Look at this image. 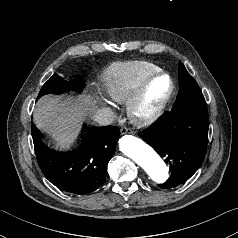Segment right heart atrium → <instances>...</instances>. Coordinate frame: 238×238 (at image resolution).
Segmentation results:
<instances>
[{
    "mask_svg": "<svg viewBox=\"0 0 238 238\" xmlns=\"http://www.w3.org/2000/svg\"><path fill=\"white\" fill-rule=\"evenodd\" d=\"M100 103H101L102 105H105V102H104L103 100H101Z\"/></svg>",
    "mask_w": 238,
    "mask_h": 238,
    "instance_id": "obj_1",
    "label": "right heart atrium"
}]
</instances>
